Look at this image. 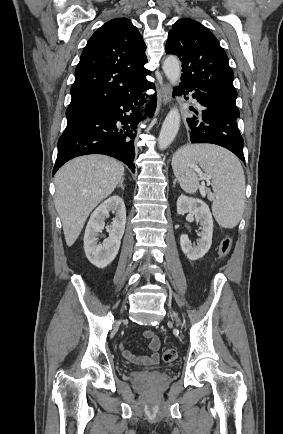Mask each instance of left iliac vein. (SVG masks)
Wrapping results in <instances>:
<instances>
[{"label": "left iliac vein", "instance_id": "obj_1", "mask_svg": "<svg viewBox=\"0 0 283 434\" xmlns=\"http://www.w3.org/2000/svg\"><path fill=\"white\" fill-rule=\"evenodd\" d=\"M169 315H170L172 318H174L178 324H181L180 319L178 318V316H177L173 311L170 310V311H169Z\"/></svg>", "mask_w": 283, "mask_h": 434}]
</instances>
